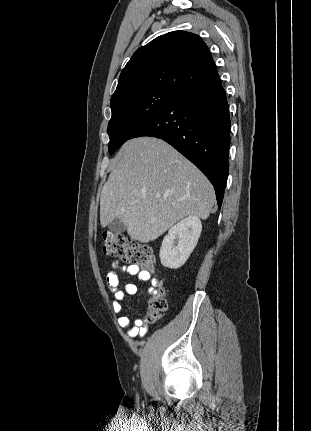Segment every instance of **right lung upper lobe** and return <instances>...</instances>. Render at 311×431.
I'll use <instances>...</instances> for the list:
<instances>
[{"instance_id": "obj_1", "label": "right lung upper lobe", "mask_w": 311, "mask_h": 431, "mask_svg": "<svg viewBox=\"0 0 311 431\" xmlns=\"http://www.w3.org/2000/svg\"><path fill=\"white\" fill-rule=\"evenodd\" d=\"M218 77L204 41L193 33L173 31L133 54L120 74L112 97L142 89L181 94Z\"/></svg>"}]
</instances>
